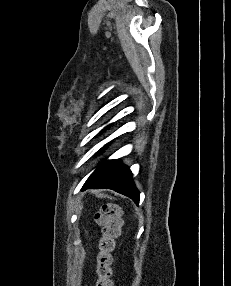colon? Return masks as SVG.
Instances as JSON below:
<instances>
[{"mask_svg":"<svg viewBox=\"0 0 231 286\" xmlns=\"http://www.w3.org/2000/svg\"><path fill=\"white\" fill-rule=\"evenodd\" d=\"M95 220L101 226V237L98 243L96 286H113L111 279L112 252L115 239L120 234V210L114 204H104L95 214Z\"/></svg>","mask_w":231,"mask_h":286,"instance_id":"5ec220e1","label":"colon"}]
</instances>
